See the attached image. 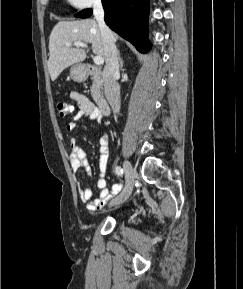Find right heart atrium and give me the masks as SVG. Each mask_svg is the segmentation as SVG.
Segmentation results:
<instances>
[{
	"label": "right heart atrium",
	"instance_id": "1",
	"mask_svg": "<svg viewBox=\"0 0 243 289\" xmlns=\"http://www.w3.org/2000/svg\"><path fill=\"white\" fill-rule=\"evenodd\" d=\"M68 3L78 9H87L101 3V0H67Z\"/></svg>",
	"mask_w": 243,
	"mask_h": 289
}]
</instances>
